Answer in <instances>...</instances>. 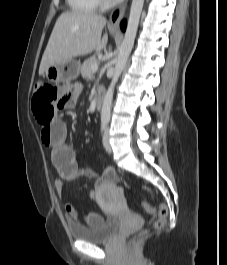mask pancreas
I'll list each match as a JSON object with an SVG mask.
<instances>
[{
  "label": "pancreas",
  "instance_id": "1",
  "mask_svg": "<svg viewBox=\"0 0 227 265\" xmlns=\"http://www.w3.org/2000/svg\"><path fill=\"white\" fill-rule=\"evenodd\" d=\"M98 64H99V60L97 59V57L95 55L90 57L89 59L85 60L83 62V64L81 65V68H80L81 76L83 78L91 77L93 74L92 69H91L92 66L98 65Z\"/></svg>",
  "mask_w": 227,
  "mask_h": 265
}]
</instances>
